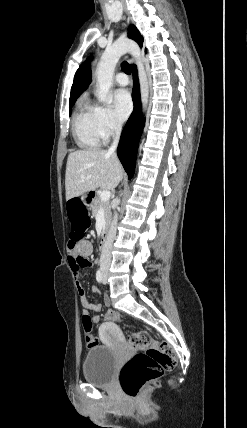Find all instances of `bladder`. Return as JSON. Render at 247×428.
<instances>
[{"mask_svg":"<svg viewBox=\"0 0 247 428\" xmlns=\"http://www.w3.org/2000/svg\"><path fill=\"white\" fill-rule=\"evenodd\" d=\"M118 355L108 346H94L87 352L83 363V376L94 386H109L116 374Z\"/></svg>","mask_w":247,"mask_h":428,"instance_id":"bladder-1","label":"bladder"}]
</instances>
